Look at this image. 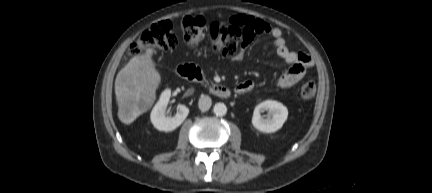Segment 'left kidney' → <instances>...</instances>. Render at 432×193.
<instances>
[{
	"label": "left kidney",
	"instance_id": "1",
	"mask_svg": "<svg viewBox=\"0 0 432 193\" xmlns=\"http://www.w3.org/2000/svg\"><path fill=\"white\" fill-rule=\"evenodd\" d=\"M267 110L271 118H262L260 112ZM288 109L282 103L274 100H266L258 104L253 113L252 125L260 132L274 133L278 131L287 120Z\"/></svg>",
	"mask_w": 432,
	"mask_h": 193
}]
</instances>
